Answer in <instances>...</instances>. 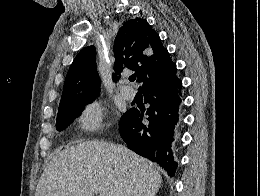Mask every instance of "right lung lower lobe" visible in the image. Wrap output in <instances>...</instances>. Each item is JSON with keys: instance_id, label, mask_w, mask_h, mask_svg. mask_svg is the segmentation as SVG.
<instances>
[{"instance_id": "obj_1", "label": "right lung lower lobe", "mask_w": 260, "mask_h": 196, "mask_svg": "<svg viewBox=\"0 0 260 196\" xmlns=\"http://www.w3.org/2000/svg\"><path fill=\"white\" fill-rule=\"evenodd\" d=\"M176 71L143 85L144 102L149 104L146 112L132 108L119 122V132L127 147L157 162L169 176H174L177 168L172 147L176 144L175 133L182 101V81Z\"/></svg>"}]
</instances>
